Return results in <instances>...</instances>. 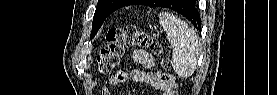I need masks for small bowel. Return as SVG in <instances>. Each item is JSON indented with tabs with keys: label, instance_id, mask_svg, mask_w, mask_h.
Segmentation results:
<instances>
[{
	"label": "small bowel",
	"instance_id": "small-bowel-1",
	"mask_svg": "<svg viewBox=\"0 0 277 95\" xmlns=\"http://www.w3.org/2000/svg\"><path fill=\"white\" fill-rule=\"evenodd\" d=\"M133 61L142 66L141 70H134L129 73L127 71H119L110 76L107 80L111 86H116L125 83L130 78L136 82L150 84L158 87L162 95H176V83L174 79H168L165 82L160 81V76L154 71V57L146 50H134L132 53ZM102 95L112 94L108 86H103L101 89Z\"/></svg>",
	"mask_w": 277,
	"mask_h": 95
}]
</instances>
